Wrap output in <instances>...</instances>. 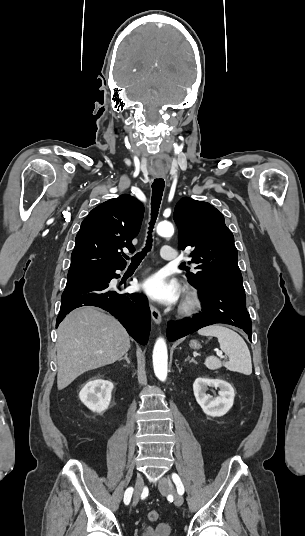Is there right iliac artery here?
<instances>
[{
	"instance_id": "right-iliac-artery-1",
	"label": "right iliac artery",
	"mask_w": 305,
	"mask_h": 536,
	"mask_svg": "<svg viewBox=\"0 0 305 536\" xmlns=\"http://www.w3.org/2000/svg\"><path fill=\"white\" fill-rule=\"evenodd\" d=\"M132 493H133V488H132V487H129V488L125 491V494H124V503H125V504H129V502H130V500H131Z\"/></svg>"
}]
</instances>
